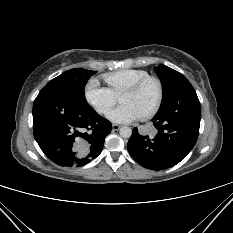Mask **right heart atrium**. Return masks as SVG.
Instances as JSON below:
<instances>
[{
    "mask_svg": "<svg viewBox=\"0 0 233 233\" xmlns=\"http://www.w3.org/2000/svg\"><path fill=\"white\" fill-rule=\"evenodd\" d=\"M84 96L87 103L101 115L107 114L116 101L113 92L109 88L100 86L96 79L87 82L84 88Z\"/></svg>",
    "mask_w": 233,
    "mask_h": 233,
    "instance_id": "obj_1",
    "label": "right heart atrium"
}]
</instances>
